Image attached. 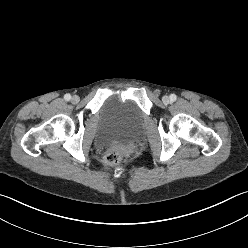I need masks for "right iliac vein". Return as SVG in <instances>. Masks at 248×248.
<instances>
[{"mask_svg": "<svg viewBox=\"0 0 248 248\" xmlns=\"http://www.w3.org/2000/svg\"><path fill=\"white\" fill-rule=\"evenodd\" d=\"M79 100H80V98H79V96H77V95H74V96L72 97V99H71L72 103H74V104L78 103Z\"/></svg>", "mask_w": 248, "mask_h": 248, "instance_id": "obj_1", "label": "right iliac vein"}]
</instances>
